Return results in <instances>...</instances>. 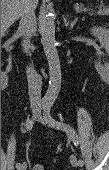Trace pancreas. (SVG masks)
<instances>
[{
	"label": "pancreas",
	"instance_id": "cf45deb5",
	"mask_svg": "<svg viewBox=\"0 0 109 170\" xmlns=\"http://www.w3.org/2000/svg\"><path fill=\"white\" fill-rule=\"evenodd\" d=\"M81 10H82L83 12L89 11V10L86 9L85 7H81ZM90 14H91V15H95V14H96V15H99V16H102V15L107 16V15H109V8H108V6L101 5V6L99 7V10H98V11L92 10Z\"/></svg>",
	"mask_w": 109,
	"mask_h": 170
}]
</instances>
